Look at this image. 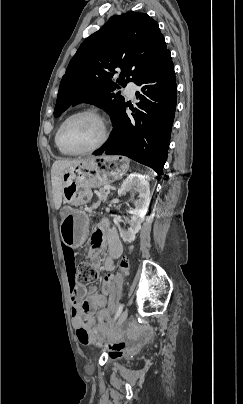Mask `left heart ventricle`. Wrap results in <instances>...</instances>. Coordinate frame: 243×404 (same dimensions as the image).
I'll return each instance as SVG.
<instances>
[{
	"label": "left heart ventricle",
	"instance_id": "obj_1",
	"mask_svg": "<svg viewBox=\"0 0 243 404\" xmlns=\"http://www.w3.org/2000/svg\"><path fill=\"white\" fill-rule=\"evenodd\" d=\"M101 121L92 115H80L71 119L62 131L63 141L73 147L89 148L102 137Z\"/></svg>",
	"mask_w": 243,
	"mask_h": 404
}]
</instances>
